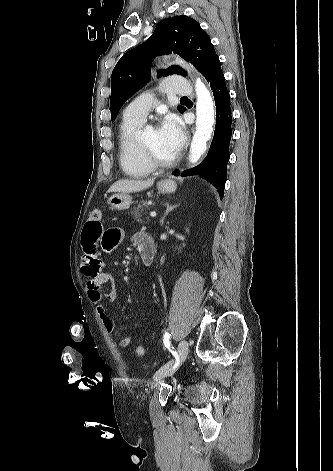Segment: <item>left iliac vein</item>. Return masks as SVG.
Segmentation results:
<instances>
[{
    "instance_id": "left-iliac-vein-1",
    "label": "left iliac vein",
    "mask_w": 333,
    "mask_h": 471,
    "mask_svg": "<svg viewBox=\"0 0 333 471\" xmlns=\"http://www.w3.org/2000/svg\"><path fill=\"white\" fill-rule=\"evenodd\" d=\"M187 355H188V342L186 340H182L178 345V366H180L185 361ZM174 371L175 370L158 373L156 374L154 380L156 382H160L163 378L172 374Z\"/></svg>"
}]
</instances>
